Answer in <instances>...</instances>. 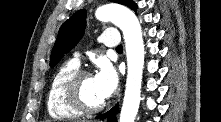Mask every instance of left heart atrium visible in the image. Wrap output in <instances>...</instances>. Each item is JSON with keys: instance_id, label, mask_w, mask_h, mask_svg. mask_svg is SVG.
Here are the masks:
<instances>
[{"instance_id": "39dd6f15", "label": "left heart atrium", "mask_w": 221, "mask_h": 122, "mask_svg": "<svg viewBox=\"0 0 221 122\" xmlns=\"http://www.w3.org/2000/svg\"><path fill=\"white\" fill-rule=\"evenodd\" d=\"M94 81L100 96L105 100L116 90L118 76L114 67L108 61L103 60L99 63V69L94 76Z\"/></svg>"}]
</instances>
